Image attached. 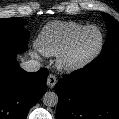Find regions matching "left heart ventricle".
<instances>
[{"label":"left heart ventricle","mask_w":119,"mask_h":119,"mask_svg":"<svg viewBox=\"0 0 119 119\" xmlns=\"http://www.w3.org/2000/svg\"><path fill=\"white\" fill-rule=\"evenodd\" d=\"M99 44V33L96 30L87 32L78 42L74 57L83 58L91 54Z\"/></svg>","instance_id":"obj_1"}]
</instances>
